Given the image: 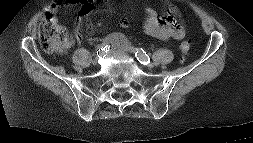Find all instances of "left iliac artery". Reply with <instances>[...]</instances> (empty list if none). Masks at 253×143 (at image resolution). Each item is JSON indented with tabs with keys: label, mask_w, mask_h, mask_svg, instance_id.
<instances>
[{
	"label": "left iliac artery",
	"mask_w": 253,
	"mask_h": 143,
	"mask_svg": "<svg viewBox=\"0 0 253 143\" xmlns=\"http://www.w3.org/2000/svg\"><path fill=\"white\" fill-rule=\"evenodd\" d=\"M134 53L137 60L141 64L147 65L150 62V57L146 54V52L142 48L134 50Z\"/></svg>",
	"instance_id": "left-iliac-artery-1"
}]
</instances>
